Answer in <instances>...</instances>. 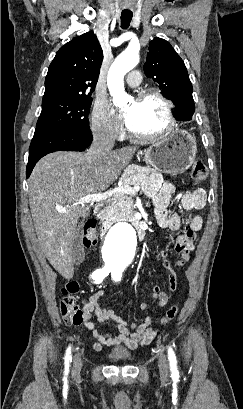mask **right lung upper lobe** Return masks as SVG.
Listing matches in <instances>:
<instances>
[{"mask_svg":"<svg viewBox=\"0 0 243 409\" xmlns=\"http://www.w3.org/2000/svg\"><path fill=\"white\" fill-rule=\"evenodd\" d=\"M103 52L92 32L73 38L62 46L48 68L43 101L87 97L94 91Z\"/></svg>","mask_w":243,"mask_h":409,"instance_id":"right-lung-upper-lobe-1","label":"right lung upper lobe"}]
</instances>
